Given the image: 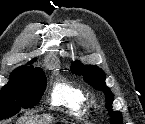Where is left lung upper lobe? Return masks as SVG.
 Instances as JSON below:
<instances>
[{"instance_id":"left-lung-upper-lobe-1","label":"left lung upper lobe","mask_w":145,"mask_h":124,"mask_svg":"<svg viewBox=\"0 0 145 124\" xmlns=\"http://www.w3.org/2000/svg\"><path fill=\"white\" fill-rule=\"evenodd\" d=\"M72 72L77 75H83L86 82L93 86V88L104 91L106 98V107L111 116V124H122V116L120 112H114L111 108L113 102V94L110 89L105 85V74L97 66H83L79 62L72 65Z\"/></svg>"}]
</instances>
